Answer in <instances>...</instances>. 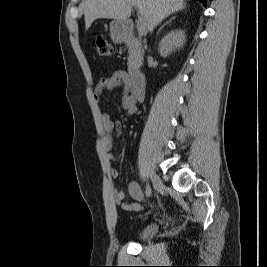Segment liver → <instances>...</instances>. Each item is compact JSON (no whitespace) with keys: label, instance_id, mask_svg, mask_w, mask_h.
Wrapping results in <instances>:
<instances>
[{"label":"liver","instance_id":"obj_1","mask_svg":"<svg viewBox=\"0 0 267 267\" xmlns=\"http://www.w3.org/2000/svg\"><path fill=\"white\" fill-rule=\"evenodd\" d=\"M135 6L144 17L148 31H153L163 19L186 8L184 0H83L85 28L99 18L125 21Z\"/></svg>","mask_w":267,"mask_h":267}]
</instances>
